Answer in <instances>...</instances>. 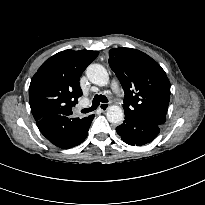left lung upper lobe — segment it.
Masks as SVG:
<instances>
[{
    "instance_id": "5c2ea615",
    "label": "left lung upper lobe",
    "mask_w": 205,
    "mask_h": 205,
    "mask_svg": "<svg viewBox=\"0 0 205 205\" xmlns=\"http://www.w3.org/2000/svg\"><path fill=\"white\" fill-rule=\"evenodd\" d=\"M109 56V65L125 92V116L164 124L170 82L162 67L150 56L132 48L111 49Z\"/></svg>"
}]
</instances>
